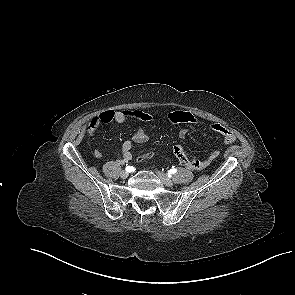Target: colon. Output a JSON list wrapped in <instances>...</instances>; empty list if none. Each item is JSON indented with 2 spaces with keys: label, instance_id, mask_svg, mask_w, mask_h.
I'll return each mask as SVG.
<instances>
[{
  "label": "colon",
  "instance_id": "colon-1",
  "mask_svg": "<svg viewBox=\"0 0 295 295\" xmlns=\"http://www.w3.org/2000/svg\"><path fill=\"white\" fill-rule=\"evenodd\" d=\"M91 127L93 128L94 127V122L92 121L91 122ZM153 157V152L149 151V152H145L143 153L140 157H139V160L140 161H145V160H148L150 158Z\"/></svg>",
  "mask_w": 295,
  "mask_h": 295
}]
</instances>
